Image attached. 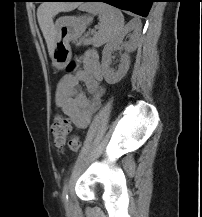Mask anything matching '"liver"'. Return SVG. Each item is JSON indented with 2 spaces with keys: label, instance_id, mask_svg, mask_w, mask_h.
I'll list each match as a JSON object with an SVG mask.
<instances>
[{
  "label": "liver",
  "instance_id": "obj_1",
  "mask_svg": "<svg viewBox=\"0 0 202 217\" xmlns=\"http://www.w3.org/2000/svg\"><path fill=\"white\" fill-rule=\"evenodd\" d=\"M78 7L77 3L65 2H44L37 10L38 23L47 43V48L50 57H52L54 41H55V26L53 23L54 16L59 12L72 11Z\"/></svg>",
  "mask_w": 202,
  "mask_h": 217
}]
</instances>
